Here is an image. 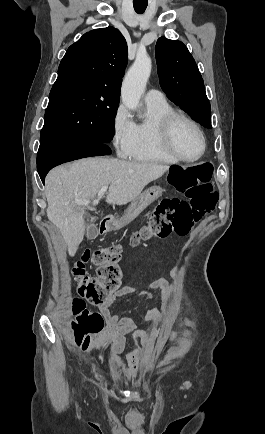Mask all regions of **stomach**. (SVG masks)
Returning <instances> with one entry per match:
<instances>
[{
  "mask_svg": "<svg viewBox=\"0 0 265 434\" xmlns=\"http://www.w3.org/2000/svg\"><path fill=\"white\" fill-rule=\"evenodd\" d=\"M162 192L163 190L160 188V186H152V188H148V190H145L143 194L137 196L134 202H132L131 206H129L125 216H123V222H131V220H134V218L139 216L142 210H145V208H147L151 202H154V200L160 198V196H162ZM110 229L115 232H119L122 229V226L119 223H115L110 226Z\"/></svg>",
  "mask_w": 265,
  "mask_h": 434,
  "instance_id": "0dacf381",
  "label": "stomach"
}]
</instances>
